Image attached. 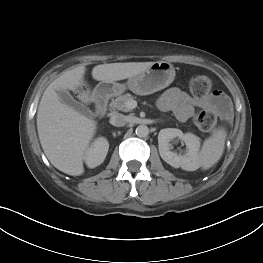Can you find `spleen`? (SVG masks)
<instances>
[{"label": "spleen", "instance_id": "3e777b00", "mask_svg": "<svg viewBox=\"0 0 263 263\" xmlns=\"http://www.w3.org/2000/svg\"><path fill=\"white\" fill-rule=\"evenodd\" d=\"M226 139V131L221 128L205 140L199 154V163L203 169L212 167L222 156Z\"/></svg>", "mask_w": 263, "mask_h": 263}]
</instances>
